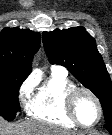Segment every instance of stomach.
I'll return each mask as SVG.
<instances>
[{
    "instance_id": "1",
    "label": "stomach",
    "mask_w": 112,
    "mask_h": 135,
    "mask_svg": "<svg viewBox=\"0 0 112 135\" xmlns=\"http://www.w3.org/2000/svg\"><path fill=\"white\" fill-rule=\"evenodd\" d=\"M78 135H95V134H92V133H89V134H78Z\"/></svg>"
}]
</instances>
